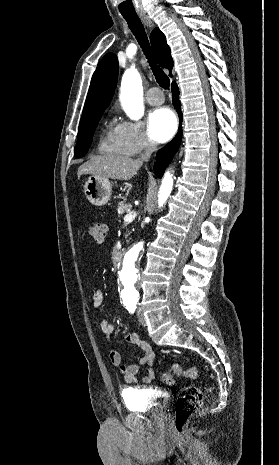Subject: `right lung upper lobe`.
<instances>
[{
  "instance_id": "1",
  "label": "right lung upper lobe",
  "mask_w": 279,
  "mask_h": 465,
  "mask_svg": "<svg viewBox=\"0 0 279 465\" xmlns=\"http://www.w3.org/2000/svg\"><path fill=\"white\" fill-rule=\"evenodd\" d=\"M150 40L161 67L171 71L173 68V59L165 35L159 28H155L151 33ZM169 75L172 77L171 73ZM117 76V57L113 53H108L99 62L93 74L79 127L91 122L108 107L117 85Z\"/></svg>"
}]
</instances>
